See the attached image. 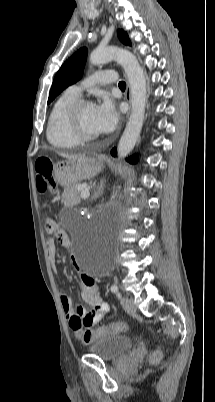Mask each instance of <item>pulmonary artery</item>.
Returning <instances> with one entry per match:
<instances>
[{"label": "pulmonary artery", "mask_w": 215, "mask_h": 402, "mask_svg": "<svg viewBox=\"0 0 215 402\" xmlns=\"http://www.w3.org/2000/svg\"><path fill=\"white\" fill-rule=\"evenodd\" d=\"M116 80L117 75L114 71L111 70L97 71L90 77L85 79L80 85H72L71 87H69V90L76 93L77 95H81L83 89L87 87H90L94 84L113 83Z\"/></svg>", "instance_id": "pulmonary-artery-1"}]
</instances>
